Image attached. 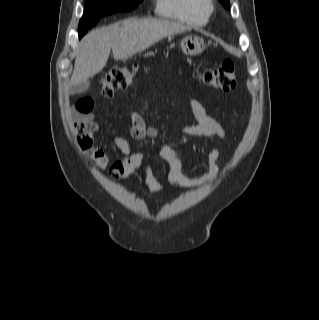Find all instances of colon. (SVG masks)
Wrapping results in <instances>:
<instances>
[{
    "label": "colon",
    "instance_id": "obj_1",
    "mask_svg": "<svg viewBox=\"0 0 319 320\" xmlns=\"http://www.w3.org/2000/svg\"><path fill=\"white\" fill-rule=\"evenodd\" d=\"M137 66H118L110 70L102 81V94L111 97L115 91L126 89L133 81ZM206 86L214 89L228 91L236 86V74L231 60H224L218 66L204 69L198 75ZM77 107V106H76ZM122 168L120 162L112 165V173Z\"/></svg>",
    "mask_w": 319,
    "mask_h": 320
}]
</instances>
